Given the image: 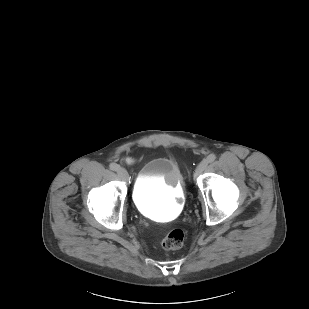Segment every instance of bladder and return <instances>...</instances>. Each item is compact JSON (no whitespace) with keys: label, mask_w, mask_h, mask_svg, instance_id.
<instances>
[{"label":"bladder","mask_w":309,"mask_h":309,"mask_svg":"<svg viewBox=\"0 0 309 309\" xmlns=\"http://www.w3.org/2000/svg\"><path fill=\"white\" fill-rule=\"evenodd\" d=\"M183 176L178 164L167 157H156L140 169L133 188L138 210L158 220L176 216L182 204Z\"/></svg>","instance_id":"obj_1"}]
</instances>
